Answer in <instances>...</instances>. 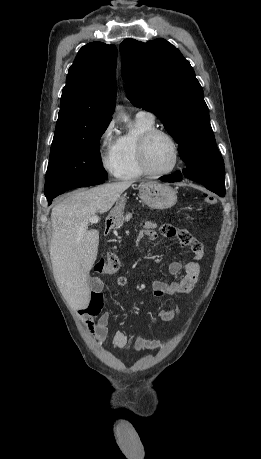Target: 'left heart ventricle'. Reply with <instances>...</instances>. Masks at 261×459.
Here are the masks:
<instances>
[{
	"label": "left heart ventricle",
	"instance_id": "b2bd125f",
	"mask_svg": "<svg viewBox=\"0 0 261 459\" xmlns=\"http://www.w3.org/2000/svg\"><path fill=\"white\" fill-rule=\"evenodd\" d=\"M148 162L155 172H164L171 168L174 162V149L167 137L158 135L150 142Z\"/></svg>",
	"mask_w": 261,
	"mask_h": 459
}]
</instances>
